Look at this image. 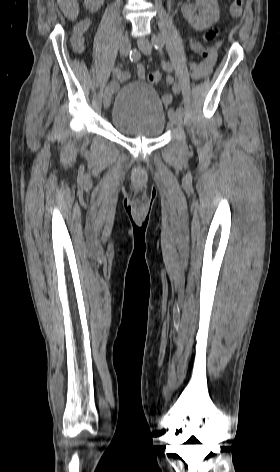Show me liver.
Listing matches in <instances>:
<instances>
[{
    "instance_id": "obj_1",
    "label": "liver",
    "mask_w": 280,
    "mask_h": 472,
    "mask_svg": "<svg viewBox=\"0 0 280 472\" xmlns=\"http://www.w3.org/2000/svg\"><path fill=\"white\" fill-rule=\"evenodd\" d=\"M59 7L65 17L69 20H76L79 14L78 0H57Z\"/></svg>"
}]
</instances>
